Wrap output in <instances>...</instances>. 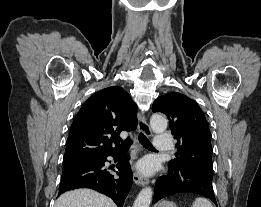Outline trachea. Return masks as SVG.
Returning a JSON list of instances; mask_svg holds the SVG:
<instances>
[{
	"instance_id": "trachea-1",
	"label": "trachea",
	"mask_w": 261,
	"mask_h": 207,
	"mask_svg": "<svg viewBox=\"0 0 261 207\" xmlns=\"http://www.w3.org/2000/svg\"><path fill=\"white\" fill-rule=\"evenodd\" d=\"M139 141L141 142V144L149 149V150H155L154 147L152 146V144L150 143V141L147 139V137L143 134V133H140L139 134ZM132 139L130 137H128L123 143H122V146H121V150L123 151H127L129 149V147L132 145Z\"/></svg>"
}]
</instances>
